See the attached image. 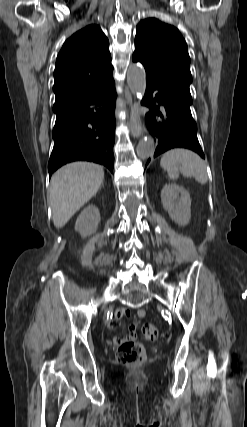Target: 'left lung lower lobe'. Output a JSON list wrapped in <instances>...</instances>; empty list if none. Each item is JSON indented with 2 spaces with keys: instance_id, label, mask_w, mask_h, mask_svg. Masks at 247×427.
<instances>
[{
  "instance_id": "left-lung-lower-lobe-1",
  "label": "left lung lower lobe",
  "mask_w": 247,
  "mask_h": 427,
  "mask_svg": "<svg viewBox=\"0 0 247 427\" xmlns=\"http://www.w3.org/2000/svg\"><path fill=\"white\" fill-rule=\"evenodd\" d=\"M146 84L142 104L150 108L145 120L152 135L158 138L154 157L172 148H187L205 158L197 138V125L192 118L190 105L181 102L155 84L147 81ZM154 90H158L155 98L152 97ZM156 103L164 107L163 113L159 111ZM149 161L150 159L147 163Z\"/></svg>"
}]
</instances>
